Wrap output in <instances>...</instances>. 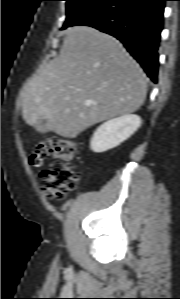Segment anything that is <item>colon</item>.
Here are the masks:
<instances>
[{
  "label": "colon",
  "mask_w": 180,
  "mask_h": 299,
  "mask_svg": "<svg viewBox=\"0 0 180 299\" xmlns=\"http://www.w3.org/2000/svg\"><path fill=\"white\" fill-rule=\"evenodd\" d=\"M75 143L71 139L54 136L39 141L29 156V163L34 167L41 166L44 160L53 156L56 161L42 172L41 189L47 199L60 200L76 189L79 174L73 170Z\"/></svg>",
  "instance_id": "obj_1"
}]
</instances>
